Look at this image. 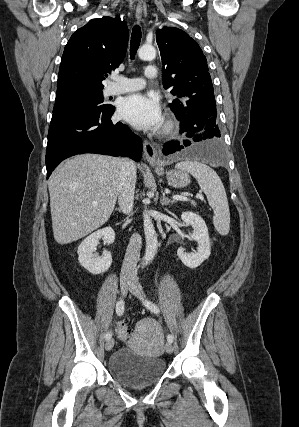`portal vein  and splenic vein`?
<instances>
[{
  "label": "portal vein and splenic vein",
  "instance_id": "1",
  "mask_svg": "<svg viewBox=\"0 0 299 427\" xmlns=\"http://www.w3.org/2000/svg\"><path fill=\"white\" fill-rule=\"evenodd\" d=\"M187 195V194H186ZM196 198L202 199L203 196L201 194H197ZM173 199L175 200H179V201H188L189 199L186 196H180V195H175L173 196Z\"/></svg>",
  "mask_w": 299,
  "mask_h": 427
}]
</instances>
